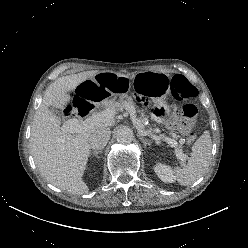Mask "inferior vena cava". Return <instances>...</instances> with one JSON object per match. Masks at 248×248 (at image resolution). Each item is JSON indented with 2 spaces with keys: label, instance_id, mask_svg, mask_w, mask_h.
<instances>
[{
  "label": "inferior vena cava",
  "instance_id": "1",
  "mask_svg": "<svg viewBox=\"0 0 248 248\" xmlns=\"http://www.w3.org/2000/svg\"><path fill=\"white\" fill-rule=\"evenodd\" d=\"M111 131L108 127H102L97 129L89 138V146L90 148L96 150L103 149L109 139H110Z\"/></svg>",
  "mask_w": 248,
  "mask_h": 248
}]
</instances>
